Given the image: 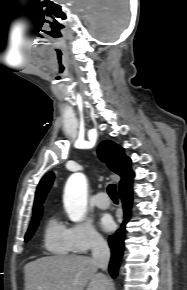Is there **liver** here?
I'll list each match as a JSON object with an SVG mask.
<instances>
[{
    "label": "liver",
    "instance_id": "1",
    "mask_svg": "<svg viewBox=\"0 0 187 290\" xmlns=\"http://www.w3.org/2000/svg\"><path fill=\"white\" fill-rule=\"evenodd\" d=\"M87 256H48L24 267L25 290H112V280L97 273Z\"/></svg>",
    "mask_w": 187,
    "mask_h": 290
}]
</instances>
